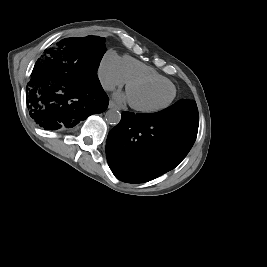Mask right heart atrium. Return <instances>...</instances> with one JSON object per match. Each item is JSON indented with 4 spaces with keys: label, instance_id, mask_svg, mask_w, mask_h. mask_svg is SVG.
<instances>
[{
    "label": "right heart atrium",
    "instance_id": "1",
    "mask_svg": "<svg viewBox=\"0 0 267 267\" xmlns=\"http://www.w3.org/2000/svg\"><path fill=\"white\" fill-rule=\"evenodd\" d=\"M98 77L105 90H113L125 84L121 59L115 52L108 51L104 54L98 67Z\"/></svg>",
    "mask_w": 267,
    "mask_h": 267
}]
</instances>
